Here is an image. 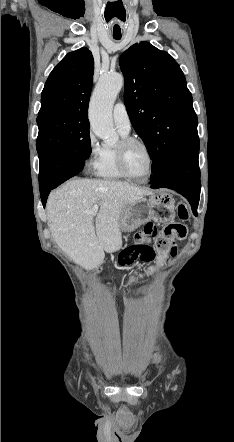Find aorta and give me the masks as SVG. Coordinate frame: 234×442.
<instances>
[{
	"instance_id": "obj_1",
	"label": "aorta",
	"mask_w": 234,
	"mask_h": 442,
	"mask_svg": "<svg viewBox=\"0 0 234 442\" xmlns=\"http://www.w3.org/2000/svg\"><path fill=\"white\" fill-rule=\"evenodd\" d=\"M124 85L119 73L103 75L93 92L89 108V121L96 136L107 143H115L118 136L113 127L112 109L116 97Z\"/></svg>"
}]
</instances>
